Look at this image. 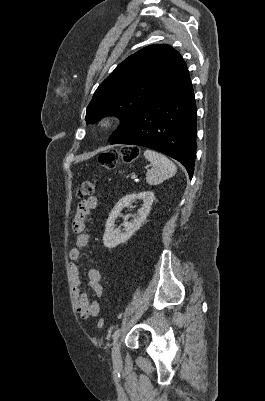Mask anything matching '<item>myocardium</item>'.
I'll return each mask as SVG.
<instances>
[{
	"instance_id": "obj_1",
	"label": "myocardium",
	"mask_w": 265,
	"mask_h": 401,
	"mask_svg": "<svg viewBox=\"0 0 265 401\" xmlns=\"http://www.w3.org/2000/svg\"><path fill=\"white\" fill-rule=\"evenodd\" d=\"M115 121L110 116H104L99 119L97 127L101 132H109L114 127Z\"/></svg>"
}]
</instances>
